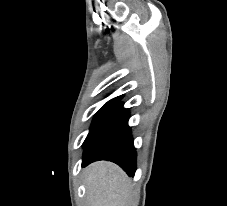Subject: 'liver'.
<instances>
[{
    "mask_svg": "<svg viewBox=\"0 0 227 206\" xmlns=\"http://www.w3.org/2000/svg\"><path fill=\"white\" fill-rule=\"evenodd\" d=\"M85 174L89 206H128L130 180L119 166L98 161L88 166Z\"/></svg>",
    "mask_w": 227,
    "mask_h": 206,
    "instance_id": "liver-1",
    "label": "liver"
}]
</instances>
